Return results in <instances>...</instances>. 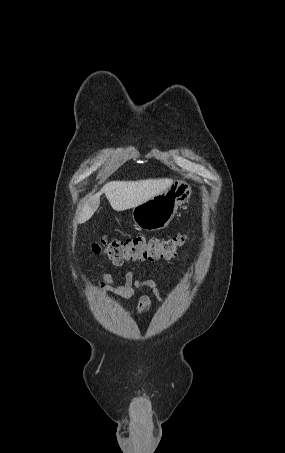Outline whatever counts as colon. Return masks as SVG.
Segmentation results:
<instances>
[{
	"instance_id": "1",
	"label": "colon",
	"mask_w": 285,
	"mask_h": 453,
	"mask_svg": "<svg viewBox=\"0 0 285 453\" xmlns=\"http://www.w3.org/2000/svg\"><path fill=\"white\" fill-rule=\"evenodd\" d=\"M187 240L186 234H176L169 238L138 236L126 240H108L102 236L93 243L92 249L96 254L107 255L117 264L128 260H168L178 255Z\"/></svg>"
}]
</instances>
